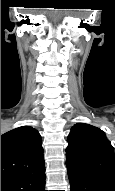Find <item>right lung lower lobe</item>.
Segmentation results:
<instances>
[{
  "mask_svg": "<svg viewBox=\"0 0 115 191\" xmlns=\"http://www.w3.org/2000/svg\"><path fill=\"white\" fill-rule=\"evenodd\" d=\"M1 191H45V170L23 178H2Z\"/></svg>",
  "mask_w": 115,
  "mask_h": 191,
  "instance_id": "1",
  "label": "right lung lower lobe"
}]
</instances>
